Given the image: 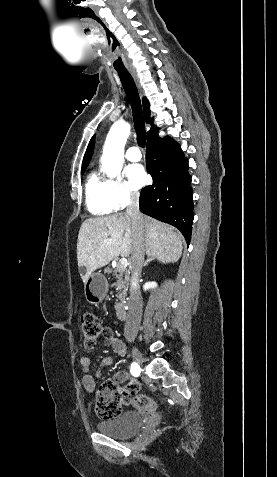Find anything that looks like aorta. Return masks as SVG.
Here are the masks:
<instances>
[{"mask_svg": "<svg viewBox=\"0 0 277 477\" xmlns=\"http://www.w3.org/2000/svg\"><path fill=\"white\" fill-rule=\"evenodd\" d=\"M130 134V125L115 122L105 141L102 155V170L109 178L117 177L123 166L124 146Z\"/></svg>", "mask_w": 277, "mask_h": 477, "instance_id": "762f6f07", "label": "aorta"}]
</instances>
